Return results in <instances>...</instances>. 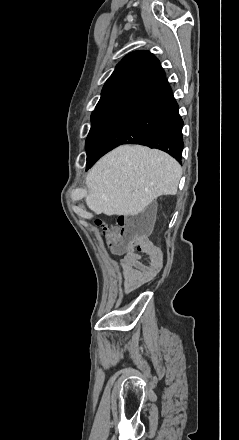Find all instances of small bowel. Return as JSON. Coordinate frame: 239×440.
Returning a JSON list of instances; mask_svg holds the SVG:
<instances>
[{
  "instance_id": "small-bowel-1",
  "label": "small bowel",
  "mask_w": 239,
  "mask_h": 440,
  "mask_svg": "<svg viewBox=\"0 0 239 440\" xmlns=\"http://www.w3.org/2000/svg\"><path fill=\"white\" fill-rule=\"evenodd\" d=\"M122 254L123 288L128 294L151 281L163 265L162 252L148 242L129 247Z\"/></svg>"
}]
</instances>
